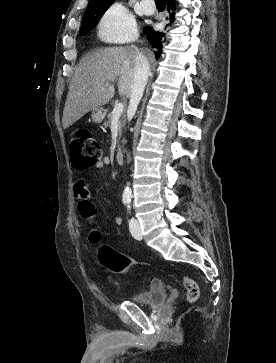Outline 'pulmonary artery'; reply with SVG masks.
I'll return each mask as SVG.
<instances>
[{"mask_svg":"<svg viewBox=\"0 0 276 363\" xmlns=\"http://www.w3.org/2000/svg\"><path fill=\"white\" fill-rule=\"evenodd\" d=\"M141 5H142L143 13L150 15L154 12V9L149 6L148 0H143L141 2Z\"/></svg>","mask_w":276,"mask_h":363,"instance_id":"1","label":"pulmonary artery"}]
</instances>
